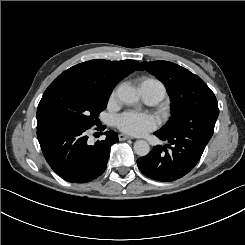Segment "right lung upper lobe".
Returning a JSON list of instances; mask_svg holds the SVG:
<instances>
[{"instance_id":"right-lung-upper-lobe-1","label":"right lung upper lobe","mask_w":245,"mask_h":245,"mask_svg":"<svg viewBox=\"0 0 245 245\" xmlns=\"http://www.w3.org/2000/svg\"><path fill=\"white\" fill-rule=\"evenodd\" d=\"M135 70H143L135 60L110 61L96 59L77 64L60 76H69L94 83L102 89L112 92L123 78Z\"/></svg>"}]
</instances>
